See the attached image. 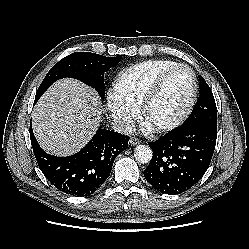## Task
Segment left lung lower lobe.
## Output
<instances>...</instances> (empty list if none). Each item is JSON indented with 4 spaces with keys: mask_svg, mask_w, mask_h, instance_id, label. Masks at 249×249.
I'll return each mask as SVG.
<instances>
[{
    "mask_svg": "<svg viewBox=\"0 0 249 249\" xmlns=\"http://www.w3.org/2000/svg\"><path fill=\"white\" fill-rule=\"evenodd\" d=\"M217 139V127L181 126L149 142L153 158L144 170L158 191L179 194L190 189L208 169Z\"/></svg>",
    "mask_w": 249,
    "mask_h": 249,
    "instance_id": "1",
    "label": "left lung lower lobe"
}]
</instances>
